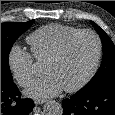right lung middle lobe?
<instances>
[{
    "label": "right lung middle lobe",
    "instance_id": "obj_1",
    "mask_svg": "<svg viewBox=\"0 0 115 115\" xmlns=\"http://www.w3.org/2000/svg\"><path fill=\"white\" fill-rule=\"evenodd\" d=\"M28 22H7L1 24V82L12 83L9 67V53L15 40L33 24Z\"/></svg>",
    "mask_w": 115,
    "mask_h": 115
}]
</instances>
